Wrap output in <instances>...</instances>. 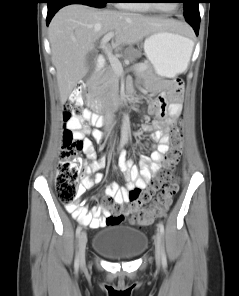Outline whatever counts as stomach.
Masks as SVG:
<instances>
[{
	"label": "stomach",
	"mask_w": 239,
	"mask_h": 296,
	"mask_svg": "<svg viewBox=\"0 0 239 296\" xmlns=\"http://www.w3.org/2000/svg\"><path fill=\"white\" fill-rule=\"evenodd\" d=\"M192 40L162 30L149 35L144 42V52L154 72L162 78H174L187 67V56Z\"/></svg>",
	"instance_id": "1"
}]
</instances>
